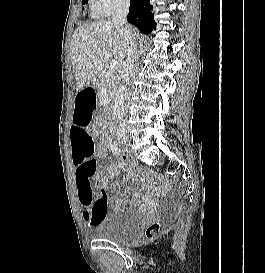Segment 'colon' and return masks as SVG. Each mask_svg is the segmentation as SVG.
Segmentation results:
<instances>
[{"instance_id":"obj_1","label":"colon","mask_w":265,"mask_h":273,"mask_svg":"<svg viewBox=\"0 0 265 273\" xmlns=\"http://www.w3.org/2000/svg\"><path fill=\"white\" fill-rule=\"evenodd\" d=\"M83 136H85L86 138L92 140L91 134H90L89 132H87V131H85V132L83 133ZM100 206H101V205H100L99 203H97V204L95 205L96 211L99 210ZM160 230H161V225H160V224H152V225H150V226L146 229V231H145V237H146L147 239H151V238H153L156 234H158V233L160 232Z\"/></svg>"}]
</instances>
